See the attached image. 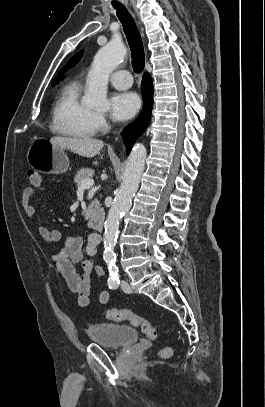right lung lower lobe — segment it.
Wrapping results in <instances>:
<instances>
[{
  "mask_svg": "<svg viewBox=\"0 0 265 407\" xmlns=\"http://www.w3.org/2000/svg\"><path fill=\"white\" fill-rule=\"evenodd\" d=\"M141 89L144 100L142 112L140 113L139 117L132 124L128 125L122 133L123 140L126 145L127 155L130 153L133 144L145 131L151 119V111L153 107V85L152 78L149 73H145L143 75Z\"/></svg>",
  "mask_w": 265,
  "mask_h": 407,
  "instance_id": "98d812e1",
  "label": "right lung lower lobe"
}]
</instances>
